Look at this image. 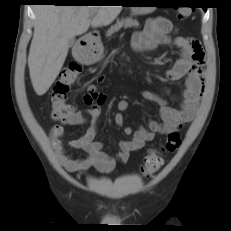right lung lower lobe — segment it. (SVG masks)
I'll list each match as a JSON object with an SVG mask.
<instances>
[{
	"label": "right lung lower lobe",
	"mask_w": 231,
	"mask_h": 231,
	"mask_svg": "<svg viewBox=\"0 0 231 231\" xmlns=\"http://www.w3.org/2000/svg\"><path fill=\"white\" fill-rule=\"evenodd\" d=\"M33 3H54L55 5H76L72 0H30ZM78 5V4H77Z\"/></svg>",
	"instance_id": "1"
}]
</instances>
